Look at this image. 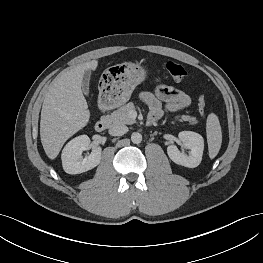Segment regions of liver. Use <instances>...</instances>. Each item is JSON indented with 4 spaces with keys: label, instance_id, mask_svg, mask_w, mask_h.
Returning a JSON list of instances; mask_svg holds the SVG:
<instances>
[{
    "label": "liver",
    "instance_id": "obj_1",
    "mask_svg": "<svg viewBox=\"0 0 263 263\" xmlns=\"http://www.w3.org/2000/svg\"><path fill=\"white\" fill-rule=\"evenodd\" d=\"M97 60L75 67L51 83L41 110L40 137L46 155L55 159L64 143L87 125L90 119L88 104L82 93L86 70H96Z\"/></svg>",
    "mask_w": 263,
    "mask_h": 263
}]
</instances>
